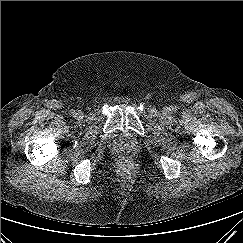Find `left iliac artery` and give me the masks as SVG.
Masks as SVG:
<instances>
[{
    "mask_svg": "<svg viewBox=\"0 0 243 243\" xmlns=\"http://www.w3.org/2000/svg\"><path fill=\"white\" fill-rule=\"evenodd\" d=\"M174 109L175 108L173 106H170V108H169L170 111H174Z\"/></svg>",
    "mask_w": 243,
    "mask_h": 243,
    "instance_id": "obj_1",
    "label": "left iliac artery"
}]
</instances>
